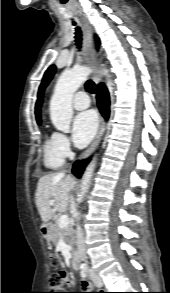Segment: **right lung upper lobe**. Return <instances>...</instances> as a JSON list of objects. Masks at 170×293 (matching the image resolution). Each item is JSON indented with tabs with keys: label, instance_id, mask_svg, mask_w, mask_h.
Returning a JSON list of instances; mask_svg holds the SVG:
<instances>
[{
	"label": "right lung upper lobe",
	"instance_id": "right-lung-upper-lobe-1",
	"mask_svg": "<svg viewBox=\"0 0 170 293\" xmlns=\"http://www.w3.org/2000/svg\"><path fill=\"white\" fill-rule=\"evenodd\" d=\"M41 103H42V99H40L37 104H36V120H37V123L40 125L41 124V118H40V110H39V107L41 106Z\"/></svg>",
	"mask_w": 170,
	"mask_h": 293
}]
</instances>
